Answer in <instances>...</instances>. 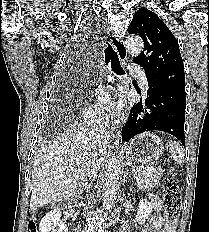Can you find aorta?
I'll return each instance as SVG.
<instances>
[{
  "mask_svg": "<svg viewBox=\"0 0 209 232\" xmlns=\"http://www.w3.org/2000/svg\"><path fill=\"white\" fill-rule=\"evenodd\" d=\"M126 47L132 57L138 56L144 47L143 40L138 36L127 37ZM131 79L128 76H124L121 79V83L118 85V100L116 103V111L119 114L123 115L124 111V102L127 98V92L129 90V83ZM122 123V116L115 120L114 124L117 129L121 127ZM120 131H116L115 141L111 146L112 152L108 156L106 161L105 169H104V176H103V206L106 210H110L115 203L117 191L119 188V177L121 171V159L119 156V139H120Z\"/></svg>",
  "mask_w": 209,
  "mask_h": 232,
  "instance_id": "1",
  "label": "aorta"
}]
</instances>
